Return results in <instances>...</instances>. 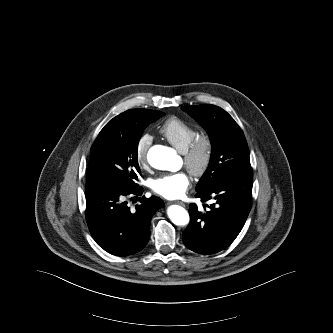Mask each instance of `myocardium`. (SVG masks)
I'll use <instances>...</instances> for the list:
<instances>
[{
    "mask_svg": "<svg viewBox=\"0 0 333 333\" xmlns=\"http://www.w3.org/2000/svg\"><path fill=\"white\" fill-rule=\"evenodd\" d=\"M213 141L208 135H198L184 153V163L190 173L203 176L209 169L213 158Z\"/></svg>",
    "mask_w": 333,
    "mask_h": 333,
    "instance_id": "1",
    "label": "myocardium"
}]
</instances>
